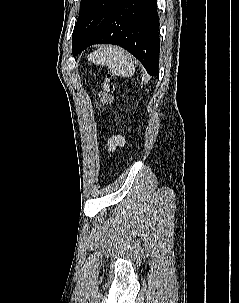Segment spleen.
Here are the masks:
<instances>
[{"label":"spleen","instance_id":"3e777b00","mask_svg":"<svg viewBox=\"0 0 239 303\" xmlns=\"http://www.w3.org/2000/svg\"><path fill=\"white\" fill-rule=\"evenodd\" d=\"M88 59L95 64L107 66L112 74L120 77H131L135 72L133 57L117 46L100 47Z\"/></svg>","mask_w":239,"mask_h":303}]
</instances>
